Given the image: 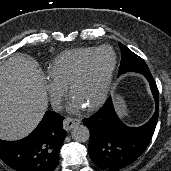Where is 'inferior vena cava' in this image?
<instances>
[{"instance_id": "1", "label": "inferior vena cava", "mask_w": 171, "mask_h": 171, "mask_svg": "<svg viewBox=\"0 0 171 171\" xmlns=\"http://www.w3.org/2000/svg\"><path fill=\"white\" fill-rule=\"evenodd\" d=\"M52 108L55 110V111H60L62 110V102L60 99H56V100H53L52 103Z\"/></svg>"}]
</instances>
